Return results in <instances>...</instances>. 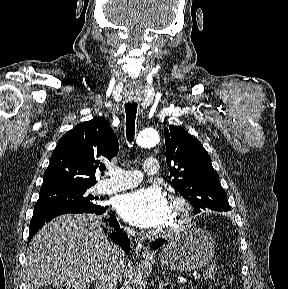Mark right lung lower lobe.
<instances>
[{
	"mask_svg": "<svg viewBox=\"0 0 288 289\" xmlns=\"http://www.w3.org/2000/svg\"><path fill=\"white\" fill-rule=\"evenodd\" d=\"M107 211V207L101 206L98 209L94 210H82L70 207H43L34 209L33 217L30 222V231H29V241L34 236V234L48 221L53 219L56 216L67 214V213H94L96 215H102ZM109 224L114 228L115 232L110 234V238L116 242L126 254L130 251V241L125 234L122 233L120 226L114 215H110ZM28 241V242H29Z\"/></svg>",
	"mask_w": 288,
	"mask_h": 289,
	"instance_id": "1",
	"label": "right lung lower lobe"
}]
</instances>
